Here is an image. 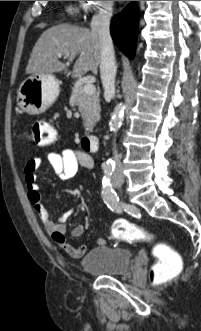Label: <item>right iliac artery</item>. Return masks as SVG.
<instances>
[{
	"label": "right iliac artery",
	"mask_w": 201,
	"mask_h": 331,
	"mask_svg": "<svg viewBox=\"0 0 201 331\" xmlns=\"http://www.w3.org/2000/svg\"><path fill=\"white\" fill-rule=\"evenodd\" d=\"M114 168L106 166L104 168V176L102 180V196L106 205L114 212L121 213L119 206V198L110 184V178Z\"/></svg>",
	"instance_id": "obj_1"
}]
</instances>
